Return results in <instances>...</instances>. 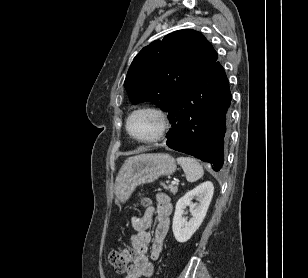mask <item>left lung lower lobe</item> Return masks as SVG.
I'll return each mask as SVG.
<instances>
[{
    "label": "left lung lower lobe",
    "instance_id": "0a47b994",
    "mask_svg": "<svg viewBox=\"0 0 308 278\" xmlns=\"http://www.w3.org/2000/svg\"><path fill=\"white\" fill-rule=\"evenodd\" d=\"M231 102L224 68L216 62L196 78L168 110L172 128L167 146L212 163L219 171L228 139V109Z\"/></svg>",
    "mask_w": 308,
    "mask_h": 278
}]
</instances>
